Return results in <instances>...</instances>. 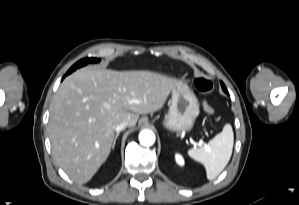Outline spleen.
Here are the masks:
<instances>
[{"mask_svg":"<svg viewBox=\"0 0 299 205\" xmlns=\"http://www.w3.org/2000/svg\"><path fill=\"white\" fill-rule=\"evenodd\" d=\"M234 133L226 124L223 130L209 141L205 148L188 150V155L204 165L208 180L215 179L228 164L233 150Z\"/></svg>","mask_w":299,"mask_h":205,"instance_id":"3e777b00","label":"spleen"}]
</instances>
